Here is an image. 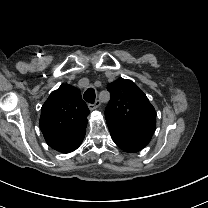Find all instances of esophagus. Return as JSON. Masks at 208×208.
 I'll use <instances>...</instances> for the list:
<instances>
[{
	"instance_id": "obj_1",
	"label": "esophagus",
	"mask_w": 208,
	"mask_h": 208,
	"mask_svg": "<svg viewBox=\"0 0 208 208\" xmlns=\"http://www.w3.org/2000/svg\"><path fill=\"white\" fill-rule=\"evenodd\" d=\"M101 102L99 100H97L94 104H88V108L89 110H94L96 108H98L100 106Z\"/></svg>"
}]
</instances>
